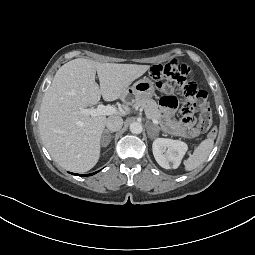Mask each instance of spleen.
I'll list each match as a JSON object with an SVG mask.
<instances>
[{
	"label": "spleen",
	"mask_w": 255,
	"mask_h": 255,
	"mask_svg": "<svg viewBox=\"0 0 255 255\" xmlns=\"http://www.w3.org/2000/svg\"><path fill=\"white\" fill-rule=\"evenodd\" d=\"M214 147V140L207 138L203 140L189 157L184 160V167L186 171H192L203 164Z\"/></svg>",
	"instance_id": "obj_1"
}]
</instances>
